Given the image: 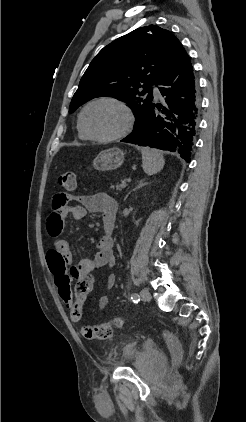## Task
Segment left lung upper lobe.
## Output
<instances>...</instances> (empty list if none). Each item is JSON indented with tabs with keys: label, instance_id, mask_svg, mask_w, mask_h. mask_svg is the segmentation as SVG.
Wrapping results in <instances>:
<instances>
[{
	"label": "left lung upper lobe",
	"instance_id": "5c2ea615",
	"mask_svg": "<svg viewBox=\"0 0 246 422\" xmlns=\"http://www.w3.org/2000/svg\"><path fill=\"white\" fill-rule=\"evenodd\" d=\"M182 48L171 32L156 25L114 40L90 63L69 112L93 98L110 96L129 104L137 123L153 100V90L147 88L159 84Z\"/></svg>",
	"mask_w": 246,
	"mask_h": 422
}]
</instances>
